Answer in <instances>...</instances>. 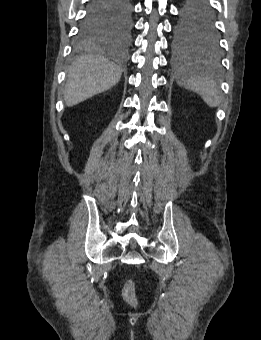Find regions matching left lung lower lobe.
Wrapping results in <instances>:
<instances>
[{
    "label": "left lung lower lobe",
    "mask_w": 261,
    "mask_h": 340,
    "mask_svg": "<svg viewBox=\"0 0 261 340\" xmlns=\"http://www.w3.org/2000/svg\"><path fill=\"white\" fill-rule=\"evenodd\" d=\"M189 1V0H188ZM205 2H207L208 3V0H205ZM188 3V2H187ZM209 4V3H208ZM210 5V4H209Z\"/></svg>",
    "instance_id": "1"
}]
</instances>
